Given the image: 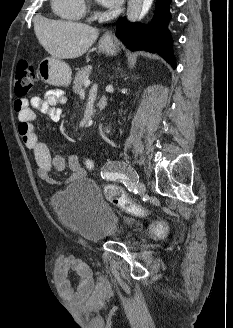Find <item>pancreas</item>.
<instances>
[{
	"label": "pancreas",
	"instance_id": "pancreas-1",
	"mask_svg": "<svg viewBox=\"0 0 233 328\" xmlns=\"http://www.w3.org/2000/svg\"><path fill=\"white\" fill-rule=\"evenodd\" d=\"M90 75V67H84L82 68L80 71H78V73L76 74L74 81H73V91L75 93H79L82 89V86L85 82V80L88 79Z\"/></svg>",
	"mask_w": 233,
	"mask_h": 328
}]
</instances>
